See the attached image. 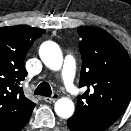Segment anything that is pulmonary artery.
Wrapping results in <instances>:
<instances>
[{"instance_id":"1","label":"pulmonary artery","mask_w":131,"mask_h":131,"mask_svg":"<svg viewBox=\"0 0 131 131\" xmlns=\"http://www.w3.org/2000/svg\"><path fill=\"white\" fill-rule=\"evenodd\" d=\"M74 77H75V66L73 60L71 57H66L62 69V80L65 87L69 90L71 94L77 93Z\"/></svg>"}]
</instances>
